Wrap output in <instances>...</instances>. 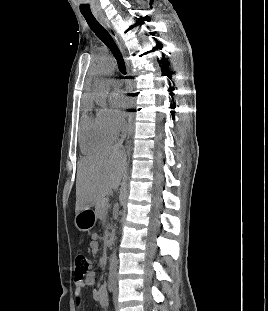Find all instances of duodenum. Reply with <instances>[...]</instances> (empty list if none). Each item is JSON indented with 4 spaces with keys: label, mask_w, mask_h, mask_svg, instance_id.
I'll list each match as a JSON object with an SVG mask.
<instances>
[{
    "label": "duodenum",
    "mask_w": 268,
    "mask_h": 311,
    "mask_svg": "<svg viewBox=\"0 0 268 311\" xmlns=\"http://www.w3.org/2000/svg\"><path fill=\"white\" fill-rule=\"evenodd\" d=\"M105 244L107 247H111L114 244V235L109 233L105 238Z\"/></svg>",
    "instance_id": "1"
}]
</instances>
